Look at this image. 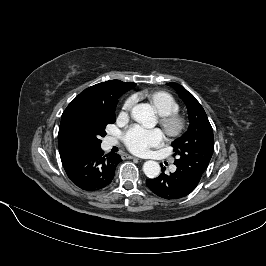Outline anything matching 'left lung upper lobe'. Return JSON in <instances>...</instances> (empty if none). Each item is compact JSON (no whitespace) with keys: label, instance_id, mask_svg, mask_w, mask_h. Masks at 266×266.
Here are the masks:
<instances>
[{"label":"left lung upper lobe","instance_id":"1","mask_svg":"<svg viewBox=\"0 0 266 266\" xmlns=\"http://www.w3.org/2000/svg\"><path fill=\"white\" fill-rule=\"evenodd\" d=\"M167 85L172 86L184 101L190 121L188 130L172 143L174 155L178 156L174 164L199 183L214 151L213 130L204 109L190 92L177 83Z\"/></svg>","mask_w":266,"mask_h":266}]
</instances>
